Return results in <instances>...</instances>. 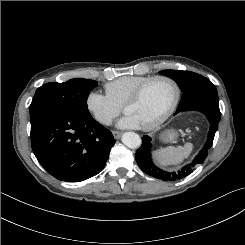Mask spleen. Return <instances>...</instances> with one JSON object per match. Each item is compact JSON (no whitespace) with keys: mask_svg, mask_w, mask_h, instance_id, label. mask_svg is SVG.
Listing matches in <instances>:
<instances>
[{"mask_svg":"<svg viewBox=\"0 0 245 245\" xmlns=\"http://www.w3.org/2000/svg\"><path fill=\"white\" fill-rule=\"evenodd\" d=\"M193 151V144L186 143L184 146H168L153 152L155 162L162 166L177 165L188 158Z\"/></svg>","mask_w":245,"mask_h":245,"instance_id":"obj_1","label":"spleen"}]
</instances>
